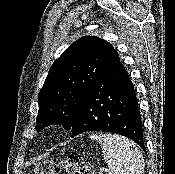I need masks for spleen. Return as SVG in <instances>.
Instances as JSON below:
<instances>
[{
    "instance_id": "obj_1",
    "label": "spleen",
    "mask_w": 175,
    "mask_h": 174,
    "mask_svg": "<svg viewBox=\"0 0 175 174\" xmlns=\"http://www.w3.org/2000/svg\"><path fill=\"white\" fill-rule=\"evenodd\" d=\"M90 138L100 143L108 174H142L144 171L143 156L129 139L109 133L92 134Z\"/></svg>"
}]
</instances>
